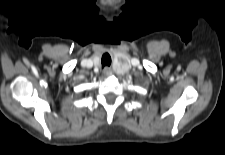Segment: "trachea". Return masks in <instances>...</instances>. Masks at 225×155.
I'll return each instance as SVG.
<instances>
[{"label":"trachea","instance_id":"3493384b","mask_svg":"<svg viewBox=\"0 0 225 155\" xmlns=\"http://www.w3.org/2000/svg\"><path fill=\"white\" fill-rule=\"evenodd\" d=\"M101 63H102V68H104L105 66H110L111 64V57L109 54H104L102 56V60H101Z\"/></svg>","mask_w":225,"mask_h":155}]
</instances>
